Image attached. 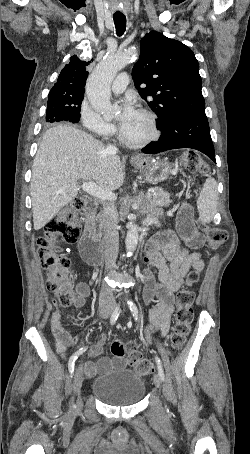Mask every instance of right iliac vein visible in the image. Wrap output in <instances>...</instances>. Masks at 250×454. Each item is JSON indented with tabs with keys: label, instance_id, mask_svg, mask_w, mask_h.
<instances>
[{
	"label": "right iliac vein",
	"instance_id": "63e3f726",
	"mask_svg": "<svg viewBox=\"0 0 250 454\" xmlns=\"http://www.w3.org/2000/svg\"><path fill=\"white\" fill-rule=\"evenodd\" d=\"M110 312H111L110 308H102L99 312V315L102 319H106L109 316ZM82 382H83V370H82V367L79 366L75 370V375H74V380H73V390H74V394L77 396L76 406H73V404L71 403V410L73 413L80 411L83 406L81 396H80Z\"/></svg>",
	"mask_w": 250,
	"mask_h": 454
}]
</instances>
